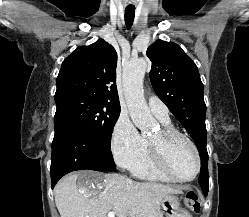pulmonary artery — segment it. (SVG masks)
<instances>
[{
    "mask_svg": "<svg viewBox=\"0 0 249 217\" xmlns=\"http://www.w3.org/2000/svg\"><path fill=\"white\" fill-rule=\"evenodd\" d=\"M148 105L159 121L168 122L170 120L167 106L157 96H150L148 98Z\"/></svg>",
    "mask_w": 249,
    "mask_h": 217,
    "instance_id": "obj_1",
    "label": "pulmonary artery"
}]
</instances>
